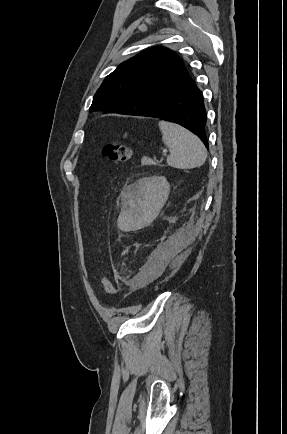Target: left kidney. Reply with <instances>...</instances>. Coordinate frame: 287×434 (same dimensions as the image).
Masks as SVG:
<instances>
[{
	"label": "left kidney",
	"mask_w": 287,
	"mask_h": 434,
	"mask_svg": "<svg viewBox=\"0 0 287 434\" xmlns=\"http://www.w3.org/2000/svg\"><path fill=\"white\" fill-rule=\"evenodd\" d=\"M170 185L163 176L139 179L129 186L124 193L127 213L132 219L138 218L140 224L149 223L158 214L166 202Z\"/></svg>",
	"instance_id": "1"
}]
</instances>
